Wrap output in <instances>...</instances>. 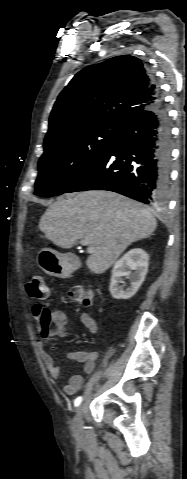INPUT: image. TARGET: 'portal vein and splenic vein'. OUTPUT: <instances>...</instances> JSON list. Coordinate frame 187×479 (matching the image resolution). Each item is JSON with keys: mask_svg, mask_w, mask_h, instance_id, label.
Returning <instances> with one entry per match:
<instances>
[{"mask_svg": "<svg viewBox=\"0 0 187 479\" xmlns=\"http://www.w3.org/2000/svg\"><path fill=\"white\" fill-rule=\"evenodd\" d=\"M80 244L83 246H88V241L87 240H81Z\"/></svg>", "mask_w": 187, "mask_h": 479, "instance_id": "obj_1", "label": "portal vein and splenic vein"}]
</instances>
